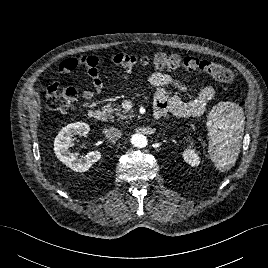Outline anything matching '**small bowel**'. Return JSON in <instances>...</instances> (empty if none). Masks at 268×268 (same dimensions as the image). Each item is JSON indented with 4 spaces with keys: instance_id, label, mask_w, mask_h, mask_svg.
I'll list each match as a JSON object with an SVG mask.
<instances>
[{
    "instance_id": "small-bowel-1",
    "label": "small bowel",
    "mask_w": 268,
    "mask_h": 268,
    "mask_svg": "<svg viewBox=\"0 0 268 268\" xmlns=\"http://www.w3.org/2000/svg\"><path fill=\"white\" fill-rule=\"evenodd\" d=\"M128 59L130 66L119 70L125 81H129L135 76L134 65L136 58L125 54H118L114 57V64L119 67V63ZM83 65L92 81V87L83 92L85 100H92L104 92V83L100 75V61L97 56H80L77 58H67L59 65V73L66 74L74 70L77 66ZM149 83L155 89L154 106L156 112L172 113L181 118L198 117L202 115L209 103L215 97V89L212 86H204L197 93L196 97L189 101H183L179 96L172 95L167 88L173 87L178 91L185 92L187 87L175 79L171 74L163 71H155L149 76ZM58 87V83H52L48 87V92H53Z\"/></svg>"
}]
</instances>
